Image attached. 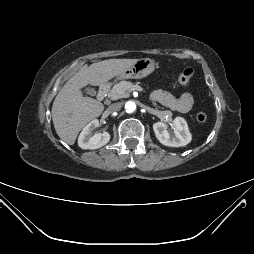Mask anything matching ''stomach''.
I'll list each match as a JSON object with an SVG mask.
<instances>
[{"instance_id": "0dacf381", "label": "stomach", "mask_w": 254, "mask_h": 254, "mask_svg": "<svg viewBox=\"0 0 254 254\" xmlns=\"http://www.w3.org/2000/svg\"><path fill=\"white\" fill-rule=\"evenodd\" d=\"M155 69L154 60L150 58L138 59L132 66L118 75L119 79H141L148 76Z\"/></svg>"}]
</instances>
